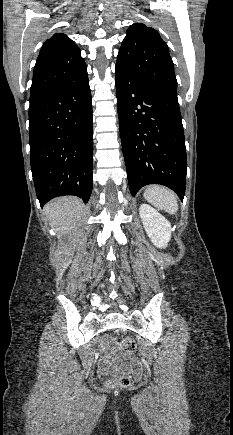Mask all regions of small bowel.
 <instances>
[{
	"mask_svg": "<svg viewBox=\"0 0 233 435\" xmlns=\"http://www.w3.org/2000/svg\"><path fill=\"white\" fill-rule=\"evenodd\" d=\"M102 358L98 363V371L102 374H107L119 370H134L140 371L139 362L136 357L130 356L119 359L114 356V349L109 344L108 339H103L100 346Z\"/></svg>",
	"mask_w": 233,
	"mask_h": 435,
	"instance_id": "obj_1",
	"label": "small bowel"
}]
</instances>
